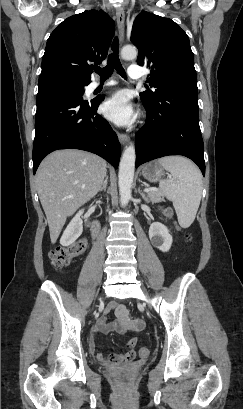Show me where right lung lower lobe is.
<instances>
[{"instance_id":"right-lung-lower-lobe-1","label":"right lung lower lobe","mask_w":243,"mask_h":409,"mask_svg":"<svg viewBox=\"0 0 243 409\" xmlns=\"http://www.w3.org/2000/svg\"><path fill=\"white\" fill-rule=\"evenodd\" d=\"M82 96L55 95L37 100L33 174L42 159L58 149H81L95 153L115 168L121 147L109 123L96 112L100 101Z\"/></svg>"}]
</instances>
